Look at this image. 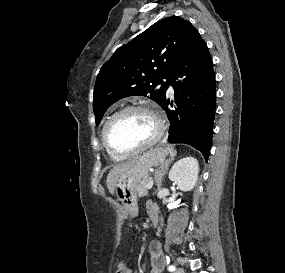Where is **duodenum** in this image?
Returning a JSON list of instances; mask_svg holds the SVG:
<instances>
[{
    "label": "duodenum",
    "mask_w": 285,
    "mask_h": 273,
    "mask_svg": "<svg viewBox=\"0 0 285 273\" xmlns=\"http://www.w3.org/2000/svg\"><path fill=\"white\" fill-rule=\"evenodd\" d=\"M151 220V223L154 228H157L159 225V217L156 209L150 210V213L148 214Z\"/></svg>",
    "instance_id": "1"
}]
</instances>
